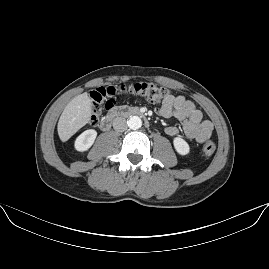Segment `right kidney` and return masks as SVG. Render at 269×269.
<instances>
[{
  "label": "right kidney",
  "mask_w": 269,
  "mask_h": 269,
  "mask_svg": "<svg viewBox=\"0 0 269 269\" xmlns=\"http://www.w3.org/2000/svg\"><path fill=\"white\" fill-rule=\"evenodd\" d=\"M97 136V132L93 129H89L80 134L75 141V149L83 152L88 150L94 143Z\"/></svg>",
  "instance_id": "1"
}]
</instances>
